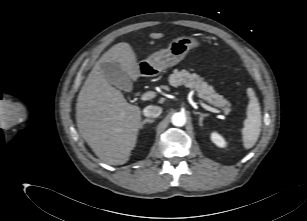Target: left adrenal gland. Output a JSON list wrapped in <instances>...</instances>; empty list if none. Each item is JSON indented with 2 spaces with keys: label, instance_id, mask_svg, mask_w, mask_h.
I'll use <instances>...</instances> for the list:
<instances>
[{
  "label": "left adrenal gland",
  "instance_id": "a2214340",
  "mask_svg": "<svg viewBox=\"0 0 307 221\" xmlns=\"http://www.w3.org/2000/svg\"><path fill=\"white\" fill-rule=\"evenodd\" d=\"M194 114L199 115V125L202 127L203 126V119L205 117H207L208 114H204V113H201V112H194Z\"/></svg>",
  "mask_w": 307,
  "mask_h": 221
}]
</instances>
